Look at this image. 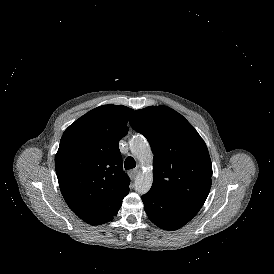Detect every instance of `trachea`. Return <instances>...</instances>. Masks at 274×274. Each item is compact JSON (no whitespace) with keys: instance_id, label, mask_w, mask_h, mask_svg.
<instances>
[{"instance_id":"trachea-1","label":"trachea","mask_w":274,"mask_h":274,"mask_svg":"<svg viewBox=\"0 0 274 274\" xmlns=\"http://www.w3.org/2000/svg\"><path fill=\"white\" fill-rule=\"evenodd\" d=\"M136 166V161L133 157L128 156L124 162L125 169H132Z\"/></svg>"}]
</instances>
